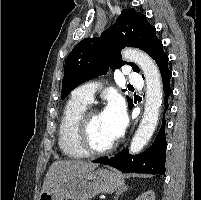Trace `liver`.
<instances>
[{
  "label": "liver",
  "instance_id": "obj_1",
  "mask_svg": "<svg viewBox=\"0 0 201 200\" xmlns=\"http://www.w3.org/2000/svg\"><path fill=\"white\" fill-rule=\"evenodd\" d=\"M97 167L98 164L85 161H56L50 166L46 174L42 193L48 191L74 174L93 171Z\"/></svg>",
  "mask_w": 201,
  "mask_h": 200
}]
</instances>
